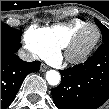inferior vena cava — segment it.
Wrapping results in <instances>:
<instances>
[{"mask_svg": "<svg viewBox=\"0 0 109 109\" xmlns=\"http://www.w3.org/2000/svg\"><path fill=\"white\" fill-rule=\"evenodd\" d=\"M18 56L24 60V61H27V62H31V61H34L37 59V56L31 52H28V51H25L23 49H20L18 51Z\"/></svg>", "mask_w": 109, "mask_h": 109, "instance_id": "obj_1", "label": "inferior vena cava"}]
</instances>
